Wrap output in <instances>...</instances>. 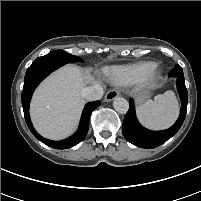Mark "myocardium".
<instances>
[{
  "label": "myocardium",
  "mask_w": 201,
  "mask_h": 201,
  "mask_svg": "<svg viewBox=\"0 0 201 201\" xmlns=\"http://www.w3.org/2000/svg\"><path fill=\"white\" fill-rule=\"evenodd\" d=\"M159 76V71L155 68L148 76L151 80H155Z\"/></svg>",
  "instance_id": "myocardium-1"
}]
</instances>
